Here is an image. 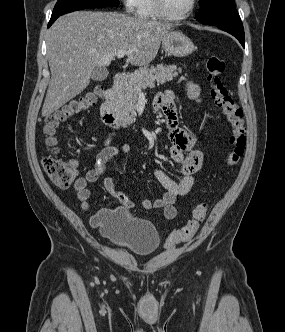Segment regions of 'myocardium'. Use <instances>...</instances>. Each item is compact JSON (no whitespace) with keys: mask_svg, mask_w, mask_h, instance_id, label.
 Listing matches in <instances>:
<instances>
[{"mask_svg":"<svg viewBox=\"0 0 285 332\" xmlns=\"http://www.w3.org/2000/svg\"><path fill=\"white\" fill-rule=\"evenodd\" d=\"M196 5L197 0H191L190 7L186 10L185 13L179 16H173L167 12L164 0H154L155 10L158 16L164 20L171 22H178L187 19L195 10Z\"/></svg>","mask_w":285,"mask_h":332,"instance_id":"myocardium-1","label":"myocardium"}]
</instances>
